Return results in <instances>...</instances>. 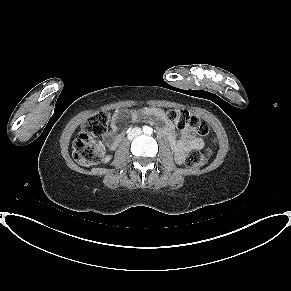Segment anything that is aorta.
<instances>
[{
	"label": "aorta",
	"mask_w": 291,
	"mask_h": 291,
	"mask_svg": "<svg viewBox=\"0 0 291 291\" xmlns=\"http://www.w3.org/2000/svg\"><path fill=\"white\" fill-rule=\"evenodd\" d=\"M143 132H144L145 134H152V128L149 127V126H145V127L143 128Z\"/></svg>",
	"instance_id": "762f6f07"
}]
</instances>
